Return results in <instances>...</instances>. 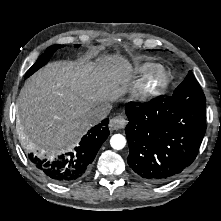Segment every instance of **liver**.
Wrapping results in <instances>:
<instances>
[{"label":"liver","mask_w":221,"mask_h":221,"mask_svg":"<svg viewBox=\"0 0 221 221\" xmlns=\"http://www.w3.org/2000/svg\"><path fill=\"white\" fill-rule=\"evenodd\" d=\"M133 78L132 64L118 53L96 62L49 63L26 81L19 94L21 139L29 148L35 144L72 148L93 124L86 117L90 108L120 99Z\"/></svg>","instance_id":"obj_1"}]
</instances>
